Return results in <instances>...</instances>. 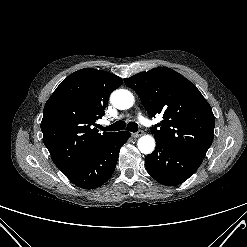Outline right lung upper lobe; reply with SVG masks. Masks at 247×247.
Masks as SVG:
<instances>
[{
  "label": "right lung upper lobe",
  "instance_id": "cb5924a9",
  "mask_svg": "<svg viewBox=\"0 0 247 247\" xmlns=\"http://www.w3.org/2000/svg\"><path fill=\"white\" fill-rule=\"evenodd\" d=\"M122 79L112 73L85 68L66 77L45 104L43 142L65 175L116 133H98L92 125L104 115V106Z\"/></svg>",
  "mask_w": 247,
  "mask_h": 247
}]
</instances>
